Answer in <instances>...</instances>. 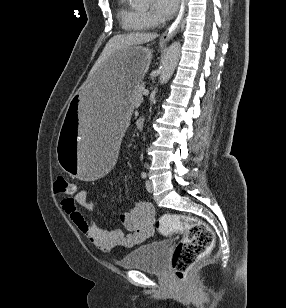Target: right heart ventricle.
Returning a JSON list of instances; mask_svg holds the SVG:
<instances>
[{
  "label": "right heart ventricle",
  "mask_w": 286,
  "mask_h": 308,
  "mask_svg": "<svg viewBox=\"0 0 286 308\" xmlns=\"http://www.w3.org/2000/svg\"><path fill=\"white\" fill-rule=\"evenodd\" d=\"M117 17L121 27L129 32H142L150 27L144 13L132 8L127 0H119Z\"/></svg>",
  "instance_id": "right-heart-ventricle-1"
}]
</instances>
